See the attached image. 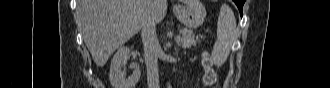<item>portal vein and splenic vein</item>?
Wrapping results in <instances>:
<instances>
[{"label":"portal vein and splenic vein","instance_id":"18ae733b","mask_svg":"<svg viewBox=\"0 0 330 88\" xmlns=\"http://www.w3.org/2000/svg\"><path fill=\"white\" fill-rule=\"evenodd\" d=\"M176 40H177V41H179V40H180V37H179V36H177V37H176Z\"/></svg>","mask_w":330,"mask_h":88}]
</instances>
